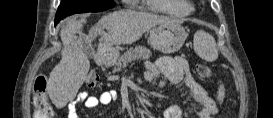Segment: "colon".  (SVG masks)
Segmentation results:
<instances>
[{
  "label": "colon",
  "mask_w": 273,
  "mask_h": 118,
  "mask_svg": "<svg viewBox=\"0 0 273 118\" xmlns=\"http://www.w3.org/2000/svg\"><path fill=\"white\" fill-rule=\"evenodd\" d=\"M197 74L201 78H209L212 76V70L209 66L198 64L196 67ZM99 81V76L95 72H90L86 77V85L88 87H95ZM35 117L36 118H52L54 112L49 103L47 96V79L44 76H37L33 85ZM224 98V88L220 84L218 86L216 100L221 103Z\"/></svg>",
  "instance_id": "1"
}]
</instances>
